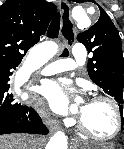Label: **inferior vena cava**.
I'll return each mask as SVG.
<instances>
[{"label":"inferior vena cava","instance_id":"602c4592","mask_svg":"<svg viewBox=\"0 0 124 149\" xmlns=\"http://www.w3.org/2000/svg\"><path fill=\"white\" fill-rule=\"evenodd\" d=\"M39 139H30L29 149H36L38 147Z\"/></svg>","mask_w":124,"mask_h":149}]
</instances>
